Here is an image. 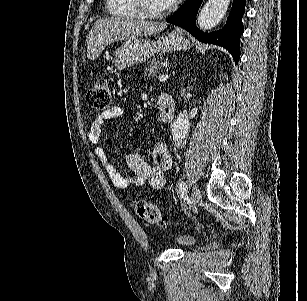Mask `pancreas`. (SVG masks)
<instances>
[{"label":"pancreas","instance_id":"pancreas-1","mask_svg":"<svg viewBox=\"0 0 307 301\" xmlns=\"http://www.w3.org/2000/svg\"><path fill=\"white\" fill-rule=\"evenodd\" d=\"M164 66H166V64L165 62H161V60H152L146 68L145 76H156V74H161Z\"/></svg>","mask_w":307,"mask_h":301}]
</instances>
